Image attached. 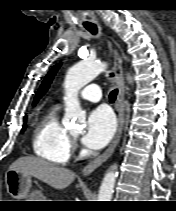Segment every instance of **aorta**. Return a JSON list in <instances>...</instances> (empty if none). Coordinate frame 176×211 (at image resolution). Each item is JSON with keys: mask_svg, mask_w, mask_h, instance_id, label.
<instances>
[{"mask_svg": "<svg viewBox=\"0 0 176 211\" xmlns=\"http://www.w3.org/2000/svg\"><path fill=\"white\" fill-rule=\"evenodd\" d=\"M106 66L102 62L82 61L67 71L64 83L66 90L64 124L78 128L84 127L85 114L80 108L77 93L83 86L102 73ZM128 79L131 82V78L128 77ZM116 178V166H113L102 180L97 201H111Z\"/></svg>", "mask_w": 176, "mask_h": 211, "instance_id": "obj_1", "label": "aorta"}]
</instances>
